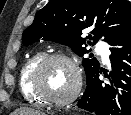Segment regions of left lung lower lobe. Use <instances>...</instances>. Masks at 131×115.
Instances as JSON below:
<instances>
[{"label": "left lung lower lobe", "mask_w": 131, "mask_h": 115, "mask_svg": "<svg viewBox=\"0 0 131 115\" xmlns=\"http://www.w3.org/2000/svg\"><path fill=\"white\" fill-rule=\"evenodd\" d=\"M109 79H99V69L87 80L77 106L96 115H131V25L111 42Z\"/></svg>", "instance_id": "left-lung-lower-lobe-1"}]
</instances>
